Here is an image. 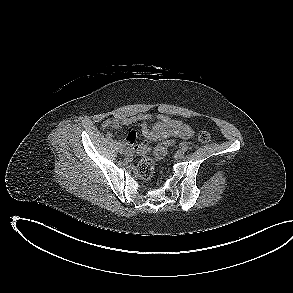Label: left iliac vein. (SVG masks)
Segmentation results:
<instances>
[{"label":"left iliac vein","mask_w":293,"mask_h":293,"mask_svg":"<svg viewBox=\"0 0 293 293\" xmlns=\"http://www.w3.org/2000/svg\"><path fill=\"white\" fill-rule=\"evenodd\" d=\"M175 156L177 159H182L184 157V151L178 150Z\"/></svg>","instance_id":"obj_1"}]
</instances>
